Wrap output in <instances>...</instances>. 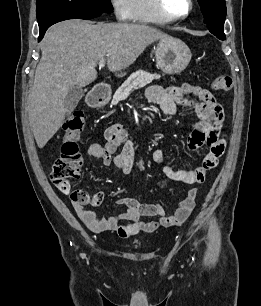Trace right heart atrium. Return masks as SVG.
<instances>
[{
	"instance_id": "d8ad5b80",
	"label": "right heart atrium",
	"mask_w": 261,
	"mask_h": 306,
	"mask_svg": "<svg viewBox=\"0 0 261 306\" xmlns=\"http://www.w3.org/2000/svg\"><path fill=\"white\" fill-rule=\"evenodd\" d=\"M112 11L119 21L130 18V0H110Z\"/></svg>"
}]
</instances>
